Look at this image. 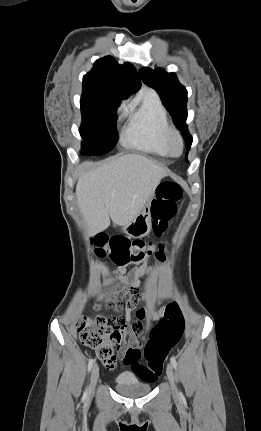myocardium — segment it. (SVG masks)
<instances>
[{"label":"myocardium","mask_w":261,"mask_h":431,"mask_svg":"<svg viewBox=\"0 0 261 431\" xmlns=\"http://www.w3.org/2000/svg\"><path fill=\"white\" fill-rule=\"evenodd\" d=\"M175 144L177 145V149H175ZM165 145L170 156L179 157L183 154L185 143L178 129L169 126L165 134Z\"/></svg>","instance_id":"1"}]
</instances>
